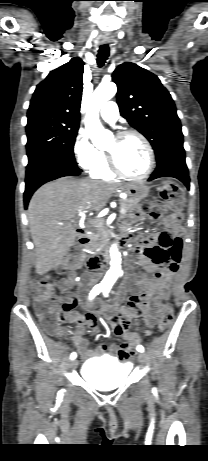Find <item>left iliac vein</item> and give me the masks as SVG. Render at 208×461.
<instances>
[{"instance_id":"left-iliac-vein-1","label":"left iliac vein","mask_w":208,"mask_h":461,"mask_svg":"<svg viewBox=\"0 0 208 461\" xmlns=\"http://www.w3.org/2000/svg\"><path fill=\"white\" fill-rule=\"evenodd\" d=\"M137 359L142 364H145L147 362V357L144 353H139Z\"/></svg>"}]
</instances>
